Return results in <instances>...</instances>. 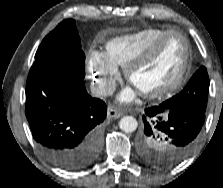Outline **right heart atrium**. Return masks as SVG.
Returning <instances> with one entry per match:
<instances>
[{"mask_svg":"<svg viewBox=\"0 0 223 188\" xmlns=\"http://www.w3.org/2000/svg\"><path fill=\"white\" fill-rule=\"evenodd\" d=\"M87 70L94 89L99 95L112 93L119 78V72L104 53L91 52L87 61Z\"/></svg>","mask_w":223,"mask_h":188,"instance_id":"right-heart-atrium-1","label":"right heart atrium"}]
</instances>
